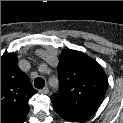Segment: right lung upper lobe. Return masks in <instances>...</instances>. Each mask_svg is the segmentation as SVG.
<instances>
[{"instance_id": "right-lung-upper-lobe-1", "label": "right lung upper lobe", "mask_w": 123, "mask_h": 123, "mask_svg": "<svg viewBox=\"0 0 123 123\" xmlns=\"http://www.w3.org/2000/svg\"><path fill=\"white\" fill-rule=\"evenodd\" d=\"M17 63L15 53L1 56V123H22L29 112L28 100L37 92Z\"/></svg>"}]
</instances>
